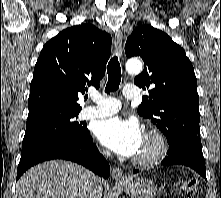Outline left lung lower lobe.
<instances>
[{
	"mask_svg": "<svg viewBox=\"0 0 221 198\" xmlns=\"http://www.w3.org/2000/svg\"><path fill=\"white\" fill-rule=\"evenodd\" d=\"M161 164L165 166H189L206 179V167L202 153V145L197 141H182L169 145L167 156ZM133 172H138V170H133Z\"/></svg>",
	"mask_w": 221,
	"mask_h": 198,
	"instance_id": "obj_1",
	"label": "left lung lower lobe"
}]
</instances>
